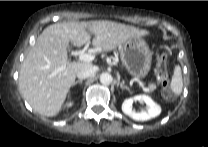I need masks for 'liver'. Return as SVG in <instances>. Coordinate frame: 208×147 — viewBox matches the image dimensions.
<instances>
[{"label": "liver", "mask_w": 208, "mask_h": 147, "mask_svg": "<svg viewBox=\"0 0 208 147\" xmlns=\"http://www.w3.org/2000/svg\"><path fill=\"white\" fill-rule=\"evenodd\" d=\"M102 51H112L133 38L147 35L139 30L111 21L63 22L48 26L28 51L19 72V91L33 110L43 116L59 113L77 72L89 62L68 60L71 43L81 47L90 41Z\"/></svg>", "instance_id": "6515ba94"}]
</instances>
